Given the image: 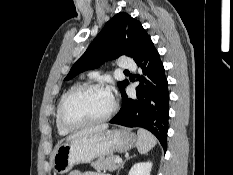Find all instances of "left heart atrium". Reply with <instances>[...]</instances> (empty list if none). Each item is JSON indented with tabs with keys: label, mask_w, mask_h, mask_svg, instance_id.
<instances>
[{
	"label": "left heart atrium",
	"mask_w": 233,
	"mask_h": 175,
	"mask_svg": "<svg viewBox=\"0 0 233 175\" xmlns=\"http://www.w3.org/2000/svg\"><path fill=\"white\" fill-rule=\"evenodd\" d=\"M107 92L111 95V89L110 88L107 89Z\"/></svg>",
	"instance_id": "39dd6f15"
}]
</instances>
